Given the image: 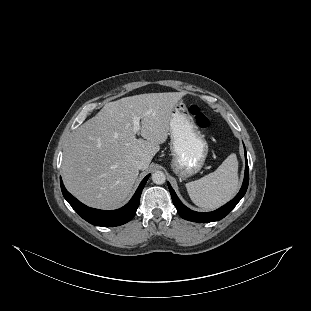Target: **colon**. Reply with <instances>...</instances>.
<instances>
[{
  "instance_id": "colon-1",
  "label": "colon",
  "mask_w": 311,
  "mask_h": 311,
  "mask_svg": "<svg viewBox=\"0 0 311 311\" xmlns=\"http://www.w3.org/2000/svg\"><path fill=\"white\" fill-rule=\"evenodd\" d=\"M189 113L199 128L206 129L209 127L210 120L198 105L191 104L189 106Z\"/></svg>"
}]
</instances>
